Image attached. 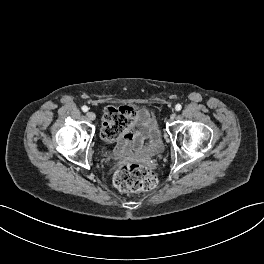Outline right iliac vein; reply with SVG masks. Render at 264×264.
<instances>
[{
	"label": "right iliac vein",
	"instance_id": "right-iliac-vein-1",
	"mask_svg": "<svg viewBox=\"0 0 264 264\" xmlns=\"http://www.w3.org/2000/svg\"><path fill=\"white\" fill-rule=\"evenodd\" d=\"M86 116H87V118L89 119V120H91V121H93V120H95V118H96V115H95V113L94 112H88L87 114H86Z\"/></svg>",
	"mask_w": 264,
	"mask_h": 264
}]
</instances>
